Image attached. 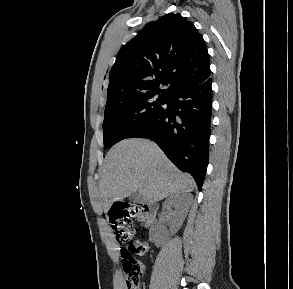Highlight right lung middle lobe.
<instances>
[{"mask_svg": "<svg viewBox=\"0 0 293 289\" xmlns=\"http://www.w3.org/2000/svg\"><path fill=\"white\" fill-rule=\"evenodd\" d=\"M167 97L150 92L107 104L103 122L104 149L128 138L163 106Z\"/></svg>", "mask_w": 293, "mask_h": 289, "instance_id": "1", "label": "right lung middle lobe"}]
</instances>
